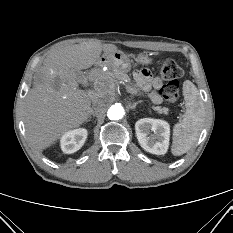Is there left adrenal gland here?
<instances>
[{
    "instance_id": "1",
    "label": "left adrenal gland",
    "mask_w": 233,
    "mask_h": 233,
    "mask_svg": "<svg viewBox=\"0 0 233 233\" xmlns=\"http://www.w3.org/2000/svg\"><path fill=\"white\" fill-rule=\"evenodd\" d=\"M139 103H141V101H137V102H135L134 104L129 105V109H130V110L135 109V108H136V106H137Z\"/></svg>"
}]
</instances>
